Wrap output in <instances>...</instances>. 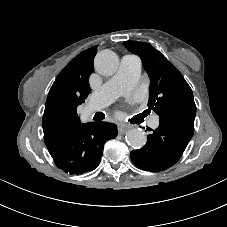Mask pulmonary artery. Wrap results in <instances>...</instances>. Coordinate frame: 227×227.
I'll return each instance as SVG.
<instances>
[{
    "label": "pulmonary artery",
    "instance_id": "e3ab8cb5",
    "mask_svg": "<svg viewBox=\"0 0 227 227\" xmlns=\"http://www.w3.org/2000/svg\"><path fill=\"white\" fill-rule=\"evenodd\" d=\"M140 73V59L133 55H124L116 74L93 93L89 112L104 108L117 97L127 95L137 84ZM149 125L154 129L159 126L156 114L150 117Z\"/></svg>",
    "mask_w": 227,
    "mask_h": 227
}]
</instances>
